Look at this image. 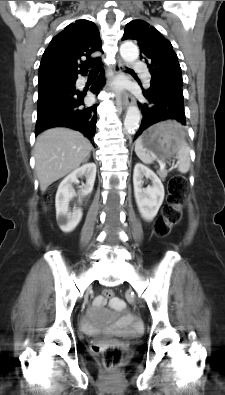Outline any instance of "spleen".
Returning <instances> with one entry per match:
<instances>
[{"label":"spleen","instance_id":"3e777b00","mask_svg":"<svg viewBox=\"0 0 225 395\" xmlns=\"http://www.w3.org/2000/svg\"><path fill=\"white\" fill-rule=\"evenodd\" d=\"M135 152L138 158L145 164H151L154 160L152 153L148 152L142 145L141 137L136 140ZM178 170L181 173L188 172L190 168V149L185 141H182L181 147L178 150Z\"/></svg>","mask_w":225,"mask_h":395}]
</instances>
